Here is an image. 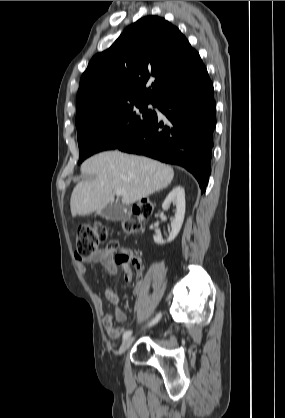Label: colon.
Returning a JSON list of instances; mask_svg holds the SVG:
<instances>
[{
    "label": "colon",
    "instance_id": "5ec220e1",
    "mask_svg": "<svg viewBox=\"0 0 285 418\" xmlns=\"http://www.w3.org/2000/svg\"><path fill=\"white\" fill-rule=\"evenodd\" d=\"M151 205L147 201H142L135 205L133 216L125 219L122 223V230L126 235H133L140 230V222L149 218ZM107 237V229L103 225L93 224L81 226L76 235L75 257L79 261H89V259L99 250L102 242ZM115 245L111 244L110 249L115 250ZM120 262L129 264L139 269L140 260L134 255H127L119 259Z\"/></svg>",
    "mask_w": 285,
    "mask_h": 418
}]
</instances>
